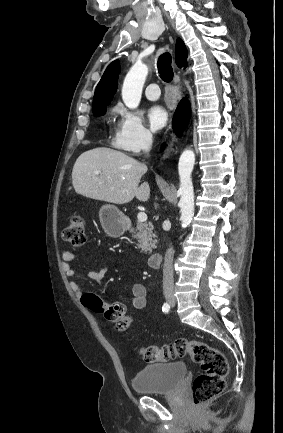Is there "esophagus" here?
<instances>
[{"label":"esophagus","instance_id":"esophagus-1","mask_svg":"<svg viewBox=\"0 0 283 433\" xmlns=\"http://www.w3.org/2000/svg\"><path fill=\"white\" fill-rule=\"evenodd\" d=\"M173 142H174V136H172L171 141L168 143V145L164 151L163 159H166L171 154V152L173 150Z\"/></svg>","mask_w":283,"mask_h":433}]
</instances>
